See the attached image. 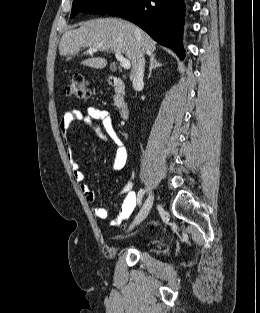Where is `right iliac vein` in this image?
<instances>
[{"instance_id":"obj_1","label":"right iliac vein","mask_w":260,"mask_h":313,"mask_svg":"<svg viewBox=\"0 0 260 313\" xmlns=\"http://www.w3.org/2000/svg\"><path fill=\"white\" fill-rule=\"evenodd\" d=\"M154 202V195L153 193L149 194L148 198L145 200L141 210L139 211L138 215L136 216L135 220L133 221L131 228H133L134 226L140 224L149 214L152 205Z\"/></svg>"}]
</instances>
